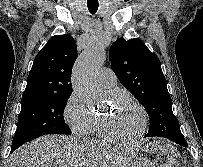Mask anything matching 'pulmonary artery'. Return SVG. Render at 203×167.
I'll list each match as a JSON object with an SVG mask.
<instances>
[{"label":"pulmonary artery","mask_w":203,"mask_h":167,"mask_svg":"<svg viewBox=\"0 0 203 167\" xmlns=\"http://www.w3.org/2000/svg\"><path fill=\"white\" fill-rule=\"evenodd\" d=\"M99 85L105 89H112L116 85L117 78L110 68H102L97 74Z\"/></svg>","instance_id":"e3ab8cb5"}]
</instances>
